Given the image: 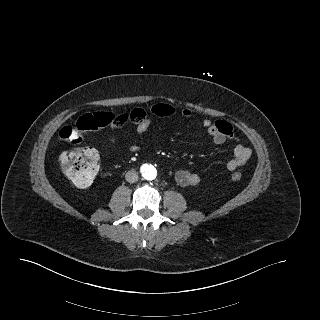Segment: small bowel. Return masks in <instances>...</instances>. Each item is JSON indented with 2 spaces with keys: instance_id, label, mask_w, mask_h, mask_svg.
Segmentation results:
<instances>
[{
  "instance_id": "obj_1",
  "label": "small bowel",
  "mask_w": 320,
  "mask_h": 320,
  "mask_svg": "<svg viewBox=\"0 0 320 320\" xmlns=\"http://www.w3.org/2000/svg\"><path fill=\"white\" fill-rule=\"evenodd\" d=\"M178 113L185 119L194 116L193 111L190 109L186 108L178 112L176 108L166 103H158L148 109L135 108L120 115L123 119L119 123L110 126L109 140L112 143H115L116 137L114 132L128 123L135 125V132L137 135H142L149 129L154 117L167 118L173 117ZM201 124L207 130V133L210 135L213 142L217 145H223L228 139H233L235 137L232 126L226 121L203 119ZM138 150L139 146L136 144L129 146L130 152L135 153ZM250 156L251 149L244 144L238 143L234 148L233 157L227 162V169L230 171L238 169L247 162ZM175 180L182 187H192L200 182V177L194 172L181 169L175 173Z\"/></svg>"
}]
</instances>
